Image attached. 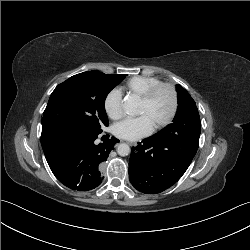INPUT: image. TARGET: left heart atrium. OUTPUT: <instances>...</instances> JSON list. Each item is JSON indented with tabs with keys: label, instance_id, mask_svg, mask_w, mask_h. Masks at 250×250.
<instances>
[{
	"label": "left heart atrium",
	"instance_id": "39dd6f15",
	"mask_svg": "<svg viewBox=\"0 0 250 250\" xmlns=\"http://www.w3.org/2000/svg\"><path fill=\"white\" fill-rule=\"evenodd\" d=\"M152 130L153 124L146 115L126 118L113 126V133L115 136L131 141L149 135Z\"/></svg>",
	"mask_w": 250,
	"mask_h": 250
}]
</instances>
